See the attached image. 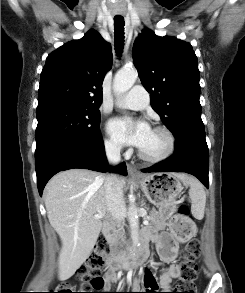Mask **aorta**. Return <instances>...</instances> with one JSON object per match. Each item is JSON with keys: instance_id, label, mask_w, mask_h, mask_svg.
<instances>
[{"instance_id": "762f6f07", "label": "aorta", "mask_w": 245, "mask_h": 293, "mask_svg": "<svg viewBox=\"0 0 245 293\" xmlns=\"http://www.w3.org/2000/svg\"><path fill=\"white\" fill-rule=\"evenodd\" d=\"M137 79V71L133 68L131 69H122L118 71L113 80V90L117 95L127 92L135 83ZM129 225L131 228V238L133 244L138 243L139 237V219L137 208L134 203V199L131 200L129 206Z\"/></svg>"}]
</instances>
